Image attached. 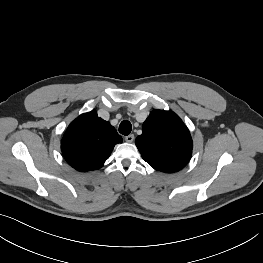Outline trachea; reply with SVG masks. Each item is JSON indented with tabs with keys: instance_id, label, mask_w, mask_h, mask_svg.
I'll return each instance as SVG.
<instances>
[{
	"instance_id": "trachea-1",
	"label": "trachea",
	"mask_w": 263,
	"mask_h": 263,
	"mask_svg": "<svg viewBox=\"0 0 263 263\" xmlns=\"http://www.w3.org/2000/svg\"><path fill=\"white\" fill-rule=\"evenodd\" d=\"M132 126L131 123L127 120H124L119 125V132L122 135H129L131 133Z\"/></svg>"
}]
</instances>
